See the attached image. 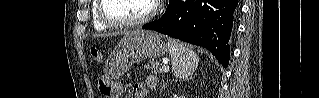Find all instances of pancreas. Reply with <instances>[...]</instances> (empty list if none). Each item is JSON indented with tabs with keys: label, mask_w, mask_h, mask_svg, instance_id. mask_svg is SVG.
Instances as JSON below:
<instances>
[{
	"label": "pancreas",
	"mask_w": 319,
	"mask_h": 98,
	"mask_svg": "<svg viewBox=\"0 0 319 98\" xmlns=\"http://www.w3.org/2000/svg\"><path fill=\"white\" fill-rule=\"evenodd\" d=\"M144 68L154 74H160L163 70L159 67L158 62L150 61L144 65Z\"/></svg>",
	"instance_id": "obj_1"
}]
</instances>
